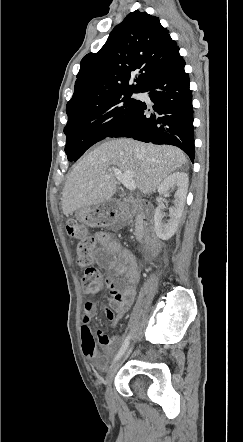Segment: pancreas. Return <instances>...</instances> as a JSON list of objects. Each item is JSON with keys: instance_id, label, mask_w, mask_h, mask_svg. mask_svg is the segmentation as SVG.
<instances>
[{"instance_id": "1", "label": "pancreas", "mask_w": 243, "mask_h": 442, "mask_svg": "<svg viewBox=\"0 0 243 442\" xmlns=\"http://www.w3.org/2000/svg\"><path fill=\"white\" fill-rule=\"evenodd\" d=\"M135 236L138 241H140L142 238V227H141L140 222H138V220H136V223H135Z\"/></svg>"}]
</instances>
